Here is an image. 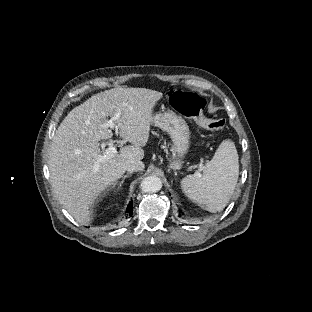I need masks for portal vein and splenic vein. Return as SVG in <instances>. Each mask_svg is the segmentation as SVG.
Segmentation results:
<instances>
[{
  "mask_svg": "<svg viewBox=\"0 0 312 312\" xmlns=\"http://www.w3.org/2000/svg\"><path fill=\"white\" fill-rule=\"evenodd\" d=\"M120 115L117 113L116 115H114L113 117H111L110 119L106 120L108 127L111 130L114 131H118L117 126H116V121L119 119ZM107 152L109 153H116V146L114 144H109ZM100 158H105L103 155L100 156ZM97 173V169H95L92 174H96ZM198 174V173H196Z\"/></svg>",
  "mask_w": 312,
  "mask_h": 312,
  "instance_id": "1",
  "label": "portal vein and splenic vein"
}]
</instances>
